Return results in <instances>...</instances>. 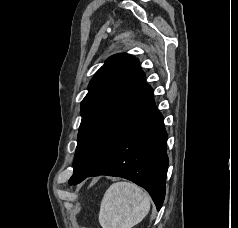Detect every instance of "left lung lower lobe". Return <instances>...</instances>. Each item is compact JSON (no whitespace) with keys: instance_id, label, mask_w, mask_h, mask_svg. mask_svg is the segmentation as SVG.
<instances>
[{"instance_id":"0a47b994","label":"left lung lower lobe","mask_w":238,"mask_h":228,"mask_svg":"<svg viewBox=\"0 0 238 228\" xmlns=\"http://www.w3.org/2000/svg\"><path fill=\"white\" fill-rule=\"evenodd\" d=\"M166 140L163 117L155 106L153 89L148 86L105 158L91 172L72 176L69 184L98 175L123 177L146 189L159 210L165 197L169 163Z\"/></svg>"}]
</instances>
